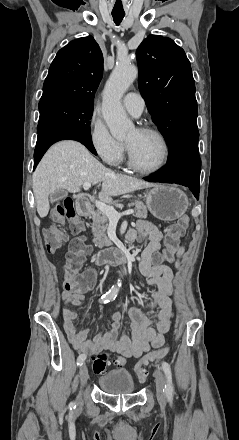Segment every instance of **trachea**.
I'll return each mask as SVG.
<instances>
[{
  "label": "trachea",
  "instance_id": "obj_1",
  "mask_svg": "<svg viewBox=\"0 0 239 440\" xmlns=\"http://www.w3.org/2000/svg\"><path fill=\"white\" fill-rule=\"evenodd\" d=\"M124 16L125 13H112L113 20L117 25H119L122 22Z\"/></svg>",
  "mask_w": 239,
  "mask_h": 440
}]
</instances>
